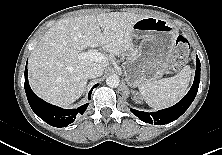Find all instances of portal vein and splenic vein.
Wrapping results in <instances>:
<instances>
[{
	"label": "portal vein and splenic vein",
	"mask_w": 222,
	"mask_h": 155,
	"mask_svg": "<svg viewBox=\"0 0 222 155\" xmlns=\"http://www.w3.org/2000/svg\"><path fill=\"white\" fill-rule=\"evenodd\" d=\"M79 58L83 60H93L95 62H101L105 60L106 57L104 54L93 50L79 54Z\"/></svg>",
	"instance_id": "18ae733b"
}]
</instances>
